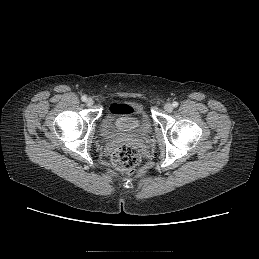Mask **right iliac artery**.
I'll return each instance as SVG.
<instances>
[{
  "mask_svg": "<svg viewBox=\"0 0 259 259\" xmlns=\"http://www.w3.org/2000/svg\"><path fill=\"white\" fill-rule=\"evenodd\" d=\"M86 99H87V97L85 95L81 97L82 101H86Z\"/></svg>",
  "mask_w": 259,
  "mask_h": 259,
  "instance_id": "obj_1",
  "label": "right iliac artery"
}]
</instances>
